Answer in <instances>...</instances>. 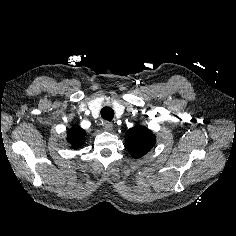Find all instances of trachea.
<instances>
[{
	"label": "trachea",
	"mask_w": 236,
	"mask_h": 236,
	"mask_svg": "<svg viewBox=\"0 0 236 236\" xmlns=\"http://www.w3.org/2000/svg\"><path fill=\"white\" fill-rule=\"evenodd\" d=\"M101 117L107 121H111L114 117V110L111 107H103L101 109Z\"/></svg>",
	"instance_id": "trachea-1"
}]
</instances>
